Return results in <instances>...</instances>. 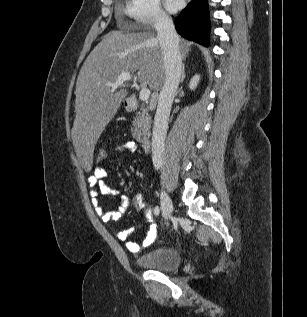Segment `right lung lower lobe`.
Segmentation results:
<instances>
[{"instance_id":"98d812e1","label":"right lung lower lobe","mask_w":307,"mask_h":317,"mask_svg":"<svg viewBox=\"0 0 307 317\" xmlns=\"http://www.w3.org/2000/svg\"><path fill=\"white\" fill-rule=\"evenodd\" d=\"M177 32L186 39L209 45L210 22L207 0H193L175 20Z\"/></svg>"}]
</instances>
